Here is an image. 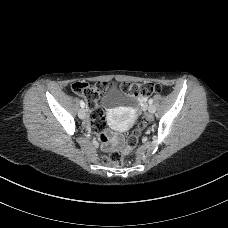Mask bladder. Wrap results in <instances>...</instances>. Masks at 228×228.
Here are the masks:
<instances>
[{"label":"bladder","instance_id":"bladder-1","mask_svg":"<svg viewBox=\"0 0 228 228\" xmlns=\"http://www.w3.org/2000/svg\"><path fill=\"white\" fill-rule=\"evenodd\" d=\"M99 102L105 106L131 104L133 102V97L113 86L101 94Z\"/></svg>","mask_w":228,"mask_h":228}]
</instances>
